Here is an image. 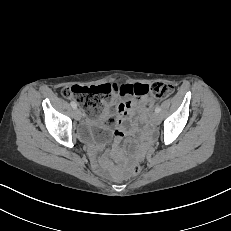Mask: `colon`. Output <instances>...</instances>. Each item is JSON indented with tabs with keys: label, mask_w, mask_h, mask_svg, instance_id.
Returning <instances> with one entry per match:
<instances>
[{
	"label": "colon",
	"mask_w": 231,
	"mask_h": 231,
	"mask_svg": "<svg viewBox=\"0 0 231 231\" xmlns=\"http://www.w3.org/2000/svg\"><path fill=\"white\" fill-rule=\"evenodd\" d=\"M130 92L142 99L145 108H150L156 99L169 97L173 92L170 84L157 82L150 85L135 84L132 87L120 88L117 84H101L95 86H69L61 91L65 98H73L88 115H101L106 103L122 96V92ZM142 165L136 163L131 169L133 175L141 173Z\"/></svg>",
	"instance_id": "colon-1"
}]
</instances>
